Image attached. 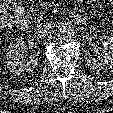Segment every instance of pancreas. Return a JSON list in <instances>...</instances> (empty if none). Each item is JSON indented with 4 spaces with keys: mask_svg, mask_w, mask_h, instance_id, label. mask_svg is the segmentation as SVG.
Segmentation results:
<instances>
[{
    "mask_svg": "<svg viewBox=\"0 0 113 113\" xmlns=\"http://www.w3.org/2000/svg\"><path fill=\"white\" fill-rule=\"evenodd\" d=\"M31 16H32V22L35 24L40 23L44 20V9L39 10L37 8V5H34L30 8Z\"/></svg>",
    "mask_w": 113,
    "mask_h": 113,
    "instance_id": "pancreas-1",
    "label": "pancreas"
}]
</instances>
